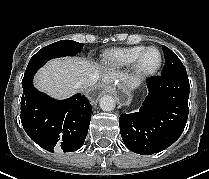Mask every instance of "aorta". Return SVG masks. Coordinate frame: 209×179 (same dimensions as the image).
<instances>
[{
	"mask_svg": "<svg viewBox=\"0 0 209 179\" xmlns=\"http://www.w3.org/2000/svg\"><path fill=\"white\" fill-rule=\"evenodd\" d=\"M100 107L103 111H111L115 108V100L110 95H104L100 99Z\"/></svg>",
	"mask_w": 209,
	"mask_h": 179,
	"instance_id": "1",
	"label": "aorta"
}]
</instances>
